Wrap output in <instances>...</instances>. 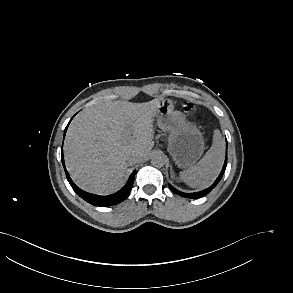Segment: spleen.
Returning a JSON list of instances; mask_svg holds the SVG:
<instances>
[{
	"mask_svg": "<svg viewBox=\"0 0 293 293\" xmlns=\"http://www.w3.org/2000/svg\"><path fill=\"white\" fill-rule=\"evenodd\" d=\"M224 151V140L220 131L215 130L210 149L197 164L180 172L181 179L193 188L209 186L221 171L224 161Z\"/></svg>",
	"mask_w": 293,
	"mask_h": 293,
	"instance_id": "obj_1",
	"label": "spleen"
}]
</instances>
